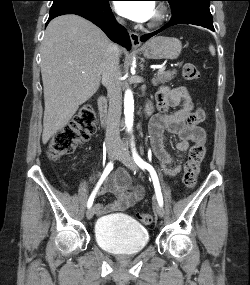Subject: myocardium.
Listing matches in <instances>:
<instances>
[{
    "mask_svg": "<svg viewBox=\"0 0 250 285\" xmlns=\"http://www.w3.org/2000/svg\"><path fill=\"white\" fill-rule=\"evenodd\" d=\"M167 18V9L163 4H158L156 6L154 15L149 22L148 26L150 28H157L161 26Z\"/></svg>",
    "mask_w": 250,
    "mask_h": 285,
    "instance_id": "obj_1",
    "label": "myocardium"
}]
</instances>
